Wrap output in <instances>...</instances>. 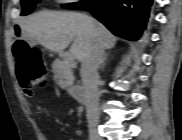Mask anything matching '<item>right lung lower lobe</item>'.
I'll return each mask as SVG.
<instances>
[{
  "mask_svg": "<svg viewBox=\"0 0 182 140\" xmlns=\"http://www.w3.org/2000/svg\"><path fill=\"white\" fill-rule=\"evenodd\" d=\"M153 0H101L86 6L95 18L111 32L129 40H137L149 17Z\"/></svg>",
  "mask_w": 182,
  "mask_h": 140,
  "instance_id": "right-lung-lower-lobe-1",
  "label": "right lung lower lobe"
}]
</instances>
